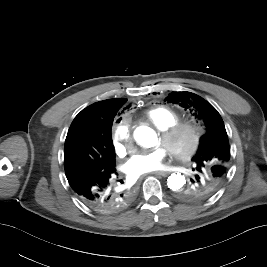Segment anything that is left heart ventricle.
Wrapping results in <instances>:
<instances>
[{
    "instance_id": "left-heart-ventricle-1",
    "label": "left heart ventricle",
    "mask_w": 267,
    "mask_h": 267,
    "mask_svg": "<svg viewBox=\"0 0 267 267\" xmlns=\"http://www.w3.org/2000/svg\"><path fill=\"white\" fill-rule=\"evenodd\" d=\"M190 141V134L187 131H182L176 138H174L172 144L180 149H184L188 146Z\"/></svg>"
}]
</instances>
